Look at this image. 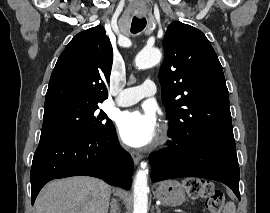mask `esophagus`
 Instances as JSON below:
<instances>
[{"label":"esophagus","instance_id":"esophagus-1","mask_svg":"<svg viewBox=\"0 0 270 213\" xmlns=\"http://www.w3.org/2000/svg\"><path fill=\"white\" fill-rule=\"evenodd\" d=\"M131 156L135 165H137L139 161L142 159V155L135 151L131 152Z\"/></svg>","mask_w":270,"mask_h":213}]
</instances>
